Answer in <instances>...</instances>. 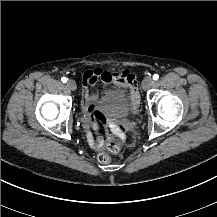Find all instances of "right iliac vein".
Returning <instances> with one entry per match:
<instances>
[{
    "mask_svg": "<svg viewBox=\"0 0 217 217\" xmlns=\"http://www.w3.org/2000/svg\"><path fill=\"white\" fill-rule=\"evenodd\" d=\"M66 86H67V88H69V89L72 90V91H75L76 88H77L76 83H75V81H73V80H68V81L66 82Z\"/></svg>",
    "mask_w": 217,
    "mask_h": 217,
    "instance_id": "1",
    "label": "right iliac vein"
}]
</instances>
